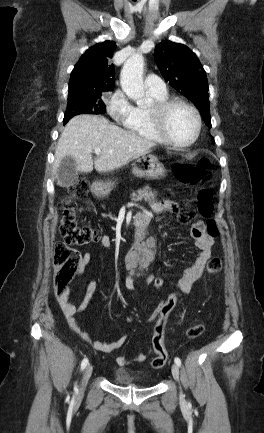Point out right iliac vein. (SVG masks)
<instances>
[{
	"label": "right iliac vein",
	"instance_id": "right-iliac-vein-1",
	"mask_svg": "<svg viewBox=\"0 0 264 433\" xmlns=\"http://www.w3.org/2000/svg\"><path fill=\"white\" fill-rule=\"evenodd\" d=\"M93 372V366L91 364H89L86 367V370L84 372L83 378H82V382L78 391V397L81 396L85 390V387L87 385V382L89 380V378L91 377V374Z\"/></svg>",
	"mask_w": 264,
	"mask_h": 433
}]
</instances>
